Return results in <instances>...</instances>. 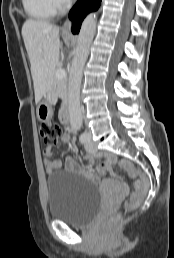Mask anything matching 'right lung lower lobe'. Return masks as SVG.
<instances>
[{
    "mask_svg": "<svg viewBox=\"0 0 174 258\" xmlns=\"http://www.w3.org/2000/svg\"><path fill=\"white\" fill-rule=\"evenodd\" d=\"M101 0H78L69 13L72 20V32L78 33L85 16L91 11H95L100 6Z\"/></svg>",
    "mask_w": 174,
    "mask_h": 258,
    "instance_id": "1",
    "label": "right lung lower lobe"
}]
</instances>
